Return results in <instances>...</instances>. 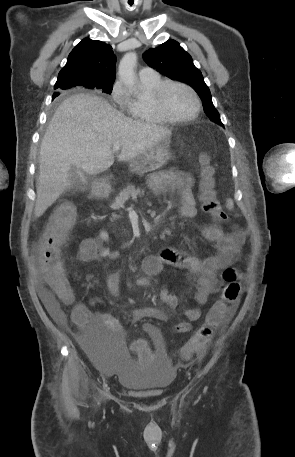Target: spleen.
Instances as JSON below:
<instances>
[{"label": "spleen", "instance_id": "3e777b00", "mask_svg": "<svg viewBox=\"0 0 295 457\" xmlns=\"http://www.w3.org/2000/svg\"><path fill=\"white\" fill-rule=\"evenodd\" d=\"M227 207H228V209H232L233 208V201L231 199L227 200Z\"/></svg>", "mask_w": 295, "mask_h": 457}]
</instances>
